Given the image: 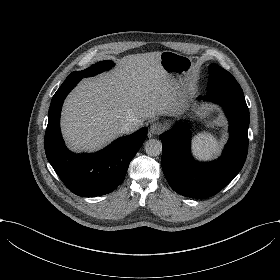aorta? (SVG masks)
<instances>
[{"label":"aorta","mask_w":280,"mask_h":280,"mask_svg":"<svg viewBox=\"0 0 280 280\" xmlns=\"http://www.w3.org/2000/svg\"><path fill=\"white\" fill-rule=\"evenodd\" d=\"M145 151L150 156H157L162 152V143L158 139H149L145 143Z\"/></svg>","instance_id":"aorta-1"}]
</instances>
